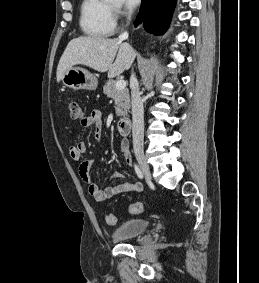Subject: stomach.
<instances>
[{
	"instance_id": "0dacf381",
	"label": "stomach",
	"mask_w": 259,
	"mask_h": 283,
	"mask_svg": "<svg viewBox=\"0 0 259 283\" xmlns=\"http://www.w3.org/2000/svg\"><path fill=\"white\" fill-rule=\"evenodd\" d=\"M62 83L75 90L86 89L96 90L98 79L88 70L81 67H72L64 73L61 79Z\"/></svg>"
}]
</instances>
